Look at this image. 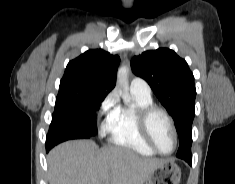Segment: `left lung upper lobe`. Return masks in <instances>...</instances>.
Segmentation results:
<instances>
[{"mask_svg": "<svg viewBox=\"0 0 235 184\" xmlns=\"http://www.w3.org/2000/svg\"><path fill=\"white\" fill-rule=\"evenodd\" d=\"M132 71L145 79L173 117L179 135L176 154L183 160L192 159V122L195 116L196 89L194 76L187 62L173 50H149L131 60Z\"/></svg>", "mask_w": 235, "mask_h": 184, "instance_id": "left-lung-upper-lobe-1", "label": "left lung upper lobe"}]
</instances>
